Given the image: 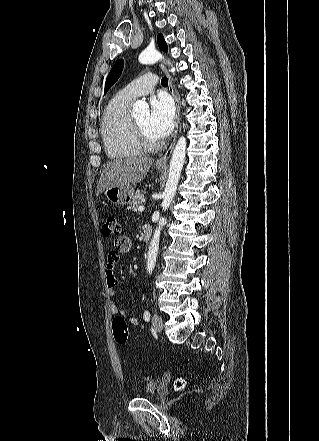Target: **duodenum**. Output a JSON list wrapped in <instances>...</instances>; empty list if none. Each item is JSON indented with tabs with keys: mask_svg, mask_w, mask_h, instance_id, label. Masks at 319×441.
Here are the masks:
<instances>
[{
	"mask_svg": "<svg viewBox=\"0 0 319 441\" xmlns=\"http://www.w3.org/2000/svg\"><path fill=\"white\" fill-rule=\"evenodd\" d=\"M151 235H152V227L149 224H145L143 226V233H142L143 240L148 241L151 238Z\"/></svg>",
	"mask_w": 319,
	"mask_h": 441,
	"instance_id": "1",
	"label": "duodenum"
}]
</instances>
